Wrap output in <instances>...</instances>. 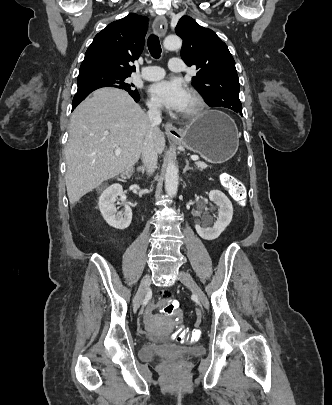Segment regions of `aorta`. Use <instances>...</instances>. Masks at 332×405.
Wrapping results in <instances>:
<instances>
[{
	"instance_id": "obj_1",
	"label": "aorta",
	"mask_w": 332,
	"mask_h": 405,
	"mask_svg": "<svg viewBox=\"0 0 332 405\" xmlns=\"http://www.w3.org/2000/svg\"><path fill=\"white\" fill-rule=\"evenodd\" d=\"M167 50H176L181 48L182 40L175 35H170L163 42ZM178 169L173 161H168L165 172V190L168 196H175L178 188Z\"/></svg>"
}]
</instances>
